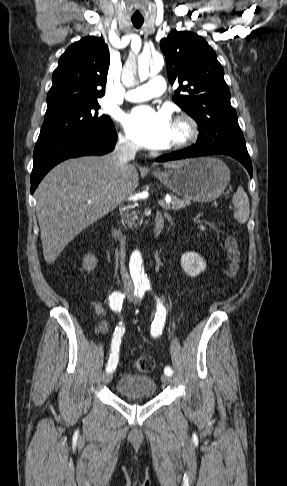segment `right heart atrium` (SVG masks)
<instances>
[{
  "label": "right heart atrium",
  "instance_id": "obj_1",
  "mask_svg": "<svg viewBox=\"0 0 287 486\" xmlns=\"http://www.w3.org/2000/svg\"><path fill=\"white\" fill-rule=\"evenodd\" d=\"M119 143L126 149L135 148V144L124 134H119Z\"/></svg>",
  "mask_w": 287,
  "mask_h": 486
}]
</instances>
